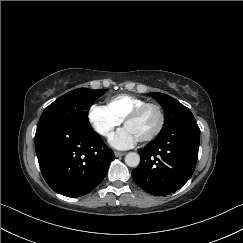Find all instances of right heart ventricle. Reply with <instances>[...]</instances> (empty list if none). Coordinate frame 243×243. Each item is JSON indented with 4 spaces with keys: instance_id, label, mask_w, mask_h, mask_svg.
<instances>
[{
    "instance_id": "e07e8e85",
    "label": "right heart ventricle",
    "mask_w": 243,
    "mask_h": 243,
    "mask_svg": "<svg viewBox=\"0 0 243 243\" xmlns=\"http://www.w3.org/2000/svg\"><path fill=\"white\" fill-rule=\"evenodd\" d=\"M145 103L147 101L142 98L129 94H120L109 99L107 107L120 120H124L131 111Z\"/></svg>"
}]
</instances>
